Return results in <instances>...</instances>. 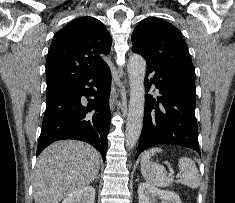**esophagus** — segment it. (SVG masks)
Returning a JSON list of instances; mask_svg holds the SVG:
<instances>
[{
	"label": "esophagus",
	"instance_id": "34e87169",
	"mask_svg": "<svg viewBox=\"0 0 235 203\" xmlns=\"http://www.w3.org/2000/svg\"><path fill=\"white\" fill-rule=\"evenodd\" d=\"M117 100V94L116 90L114 87V84H112L111 92H110V97H109V104H110V109L113 110L116 104Z\"/></svg>",
	"mask_w": 235,
	"mask_h": 203
}]
</instances>
